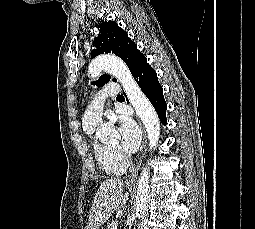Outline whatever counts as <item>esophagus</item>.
I'll return each mask as SVG.
<instances>
[{
    "label": "esophagus",
    "mask_w": 255,
    "mask_h": 229,
    "mask_svg": "<svg viewBox=\"0 0 255 229\" xmlns=\"http://www.w3.org/2000/svg\"><path fill=\"white\" fill-rule=\"evenodd\" d=\"M142 131H143V150H142V154H141V157H140V160L135 168V171L128 176V178L126 179V183L127 184H133L136 182L137 180V177H138V171L140 169V166H141V163H142V159L145 155V152H146V145H147V136H146V132H145V129L142 127Z\"/></svg>",
    "instance_id": "34e87169"
}]
</instances>
